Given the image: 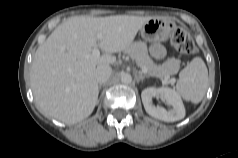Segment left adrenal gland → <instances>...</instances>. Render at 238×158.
<instances>
[{
    "instance_id": "a2214340",
    "label": "left adrenal gland",
    "mask_w": 238,
    "mask_h": 158,
    "mask_svg": "<svg viewBox=\"0 0 238 158\" xmlns=\"http://www.w3.org/2000/svg\"><path fill=\"white\" fill-rule=\"evenodd\" d=\"M148 76H145V75H143L141 72H139V76H138V78H139V80H141V81H143L145 78H147Z\"/></svg>"
}]
</instances>
